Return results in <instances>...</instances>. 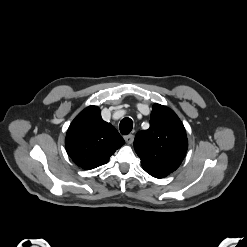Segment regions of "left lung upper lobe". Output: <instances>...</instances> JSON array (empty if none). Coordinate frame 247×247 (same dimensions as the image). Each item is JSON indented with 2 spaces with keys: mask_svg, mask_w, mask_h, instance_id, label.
<instances>
[{
  "mask_svg": "<svg viewBox=\"0 0 247 247\" xmlns=\"http://www.w3.org/2000/svg\"><path fill=\"white\" fill-rule=\"evenodd\" d=\"M188 147L185 128L168 107L154 104L150 128L136 134L134 148L143 169L155 178H163L182 163Z\"/></svg>",
  "mask_w": 247,
  "mask_h": 247,
  "instance_id": "1",
  "label": "left lung upper lobe"
}]
</instances>
